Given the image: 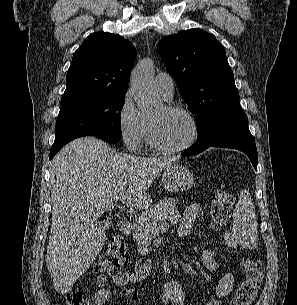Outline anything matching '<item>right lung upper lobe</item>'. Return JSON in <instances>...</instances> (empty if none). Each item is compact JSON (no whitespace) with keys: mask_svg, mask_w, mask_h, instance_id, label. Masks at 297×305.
I'll return each mask as SVG.
<instances>
[{"mask_svg":"<svg viewBox=\"0 0 297 305\" xmlns=\"http://www.w3.org/2000/svg\"><path fill=\"white\" fill-rule=\"evenodd\" d=\"M135 58V47L123 37L105 32L91 34L73 55L61 100L126 94Z\"/></svg>","mask_w":297,"mask_h":305,"instance_id":"right-lung-upper-lobe-1","label":"right lung upper lobe"}]
</instances>
